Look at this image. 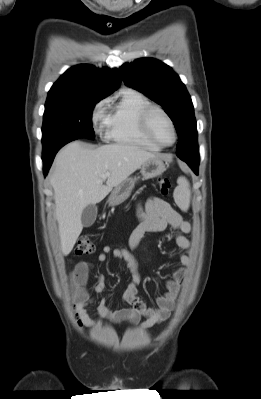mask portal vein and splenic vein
<instances>
[{"mask_svg": "<svg viewBox=\"0 0 261 399\" xmlns=\"http://www.w3.org/2000/svg\"><path fill=\"white\" fill-rule=\"evenodd\" d=\"M108 176H109V173H105V174L102 176V179H106Z\"/></svg>", "mask_w": 261, "mask_h": 399, "instance_id": "obj_1", "label": "portal vein and splenic vein"}]
</instances>
